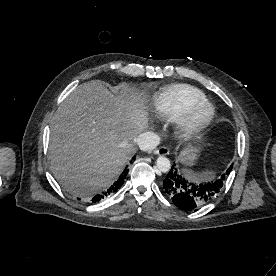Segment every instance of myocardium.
<instances>
[{
	"label": "myocardium",
	"mask_w": 276,
	"mask_h": 276,
	"mask_svg": "<svg viewBox=\"0 0 276 276\" xmlns=\"http://www.w3.org/2000/svg\"><path fill=\"white\" fill-rule=\"evenodd\" d=\"M201 109H208V115L198 120L196 113ZM215 109L208 101H201L191 105L184 115L178 120L180 137L185 140H190L200 135L213 121Z\"/></svg>",
	"instance_id": "1"
}]
</instances>
